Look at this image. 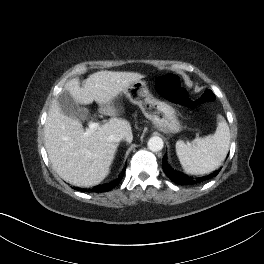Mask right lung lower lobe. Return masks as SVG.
<instances>
[{
    "instance_id": "right-lung-lower-lobe-1",
    "label": "right lung lower lobe",
    "mask_w": 264,
    "mask_h": 264,
    "mask_svg": "<svg viewBox=\"0 0 264 264\" xmlns=\"http://www.w3.org/2000/svg\"><path fill=\"white\" fill-rule=\"evenodd\" d=\"M121 179H122V177H119L118 179L110 182L109 184H105V185H102V186H99V187L97 186V187L93 188L92 191H94V192H105V191H108L111 188H114L120 182ZM82 191H85V190H82Z\"/></svg>"
}]
</instances>
